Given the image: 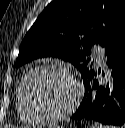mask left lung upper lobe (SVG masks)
<instances>
[{
    "instance_id": "1",
    "label": "left lung upper lobe",
    "mask_w": 125,
    "mask_h": 128,
    "mask_svg": "<svg viewBox=\"0 0 125 128\" xmlns=\"http://www.w3.org/2000/svg\"><path fill=\"white\" fill-rule=\"evenodd\" d=\"M123 27L125 0H53L25 35L15 66L59 57L84 78L95 70L89 57L92 45L106 47Z\"/></svg>"
}]
</instances>
